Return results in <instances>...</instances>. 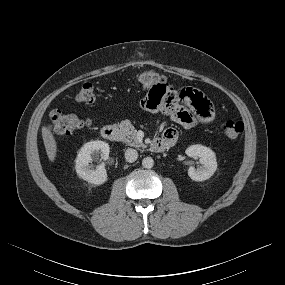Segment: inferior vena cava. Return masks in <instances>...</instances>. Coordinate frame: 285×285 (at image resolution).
Wrapping results in <instances>:
<instances>
[{"label": "inferior vena cava", "instance_id": "inferior-vena-cava-1", "mask_svg": "<svg viewBox=\"0 0 285 285\" xmlns=\"http://www.w3.org/2000/svg\"><path fill=\"white\" fill-rule=\"evenodd\" d=\"M137 158H138V152L135 149L128 148L125 151V159L127 162L132 163V162L136 161Z\"/></svg>", "mask_w": 285, "mask_h": 285}]
</instances>
